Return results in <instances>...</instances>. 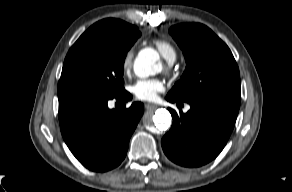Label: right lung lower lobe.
<instances>
[{
  "mask_svg": "<svg viewBox=\"0 0 292 192\" xmlns=\"http://www.w3.org/2000/svg\"><path fill=\"white\" fill-rule=\"evenodd\" d=\"M132 96L123 91L105 96L82 88L58 90L59 122L67 146L86 168L105 172L117 167L125 158L129 140L141 116L143 104L109 109L111 99L127 102Z\"/></svg>",
  "mask_w": 292,
  "mask_h": 192,
  "instance_id": "right-lung-lower-lobe-1",
  "label": "right lung lower lobe"
}]
</instances>
